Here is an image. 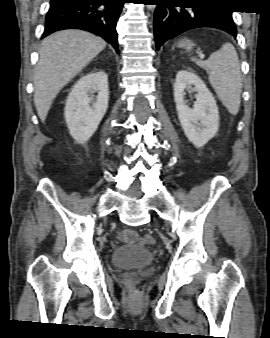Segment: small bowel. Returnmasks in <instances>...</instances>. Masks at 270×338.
Listing matches in <instances>:
<instances>
[{"instance_id": "1", "label": "small bowel", "mask_w": 270, "mask_h": 338, "mask_svg": "<svg viewBox=\"0 0 270 338\" xmlns=\"http://www.w3.org/2000/svg\"><path fill=\"white\" fill-rule=\"evenodd\" d=\"M119 237L121 239H133L134 238V234L128 230H124V231H121L120 234H119Z\"/></svg>"}]
</instances>
